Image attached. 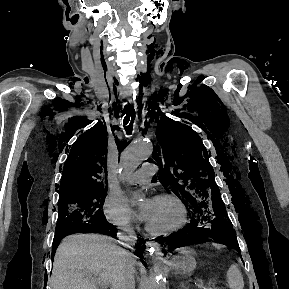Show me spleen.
Here are the masks:
<instances>
[{"label": "spleen", "mask_w": 289, "mask_h": 289, "mask_svg": "<svg viewBox=\"0 0 289 289\" xmlns=\"http://www.w3.org/2000/svg\"><path fill=\"white\" fill-rule=\"evenodd\" d=\"M228 286L230 289H243V276L236 264H232L226 274Z\"/></svg>", "instance_id": "3e777b00"}]
</instances>
